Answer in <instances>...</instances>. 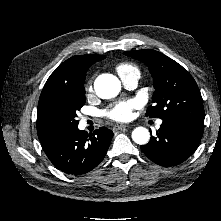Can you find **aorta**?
Listing matches in <instances>:
<instances>
[{"label": "aorta", "mask_w": 221, "mask_h": 221, "mask_svg": "<svg viewBox=\"0 0 221 221\" xmlns=\"http://www.w3.org/2000/svg\"><path fill=\"white\" fill-rule=\"evenodd\" d=\"M96 94L102 99H110L117 96L121 90L119 79L112 74H101L94 82ZM132 139L135 143L144 145L150 139V133L145 127H136L132 131Z\"/></svg>", "instance_id": "aorta-1"}]
</instances>
